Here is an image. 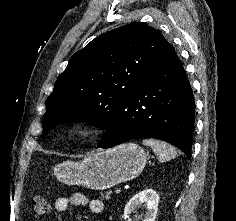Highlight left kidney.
<instances>
[{"instance_id": "1", "label": "left kidney", "mask_w": 236, "mask_h": 221, "mask_svg": "<svg viewBox=\"0 0 236 221\" xmlns=\"http://www.w3.org/2000/svg\"><path fill=\"white\" fill-rule=\"evenodd\" d=\"M159 199V195L153 189H146L139 192L138 194L134 195L126 204L122 218H125L128 214L134 212L140 207L141 204L144 203L147 210L145 212L143 221H155L158 211Z\"/></svg>"}]
</instances>
